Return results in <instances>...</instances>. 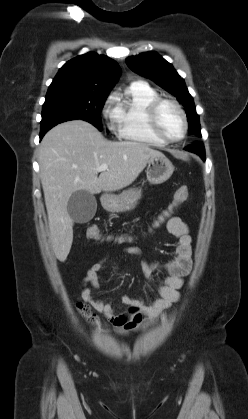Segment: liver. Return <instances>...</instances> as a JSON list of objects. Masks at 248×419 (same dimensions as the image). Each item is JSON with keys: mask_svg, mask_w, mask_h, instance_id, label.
<instances>
[{"mask_svg": "<svg viewBox=\"0 0 248 419\" xmlns=\"http://www.w3.org/2000/svg\"><path fill=\"white\" fill-rule=\"evenodd\" d=\"M162 152L139 142H111L93 125L72 120L52 128L39 147L40 178L50 238L57 259L64 262L73 242L74 220L67 205L79 190L91 194L116 191L132 184L149 159ZM107 164L108 170L95 169Z\"/></svg>", "mask_w": 248, "mask_h": 419, "instance_id": "1", "label": "liver"}]
</instances>
